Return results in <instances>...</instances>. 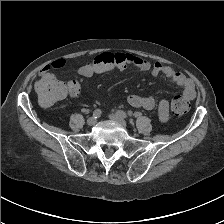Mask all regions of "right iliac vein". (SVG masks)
I'll list each match as a JSON object with an SVG mask.
<instances>
[{"mask_svg": "<svg viewBox=\"0 0 224 224\" xmlns=\"http://www.w3.org/2000/svg\"><path fill=\"white\" fill-rule=\"evenodd\" d=\"M96 121H97V120H96L94 117H90V118H88V120H87V124L90 125V126H93V125L96 124Z\"/></svg>", "mask_w": 224, "mask_h": 224, "instance_id": "63e3f726", "label": "right iliac vein"}]
</instances>
